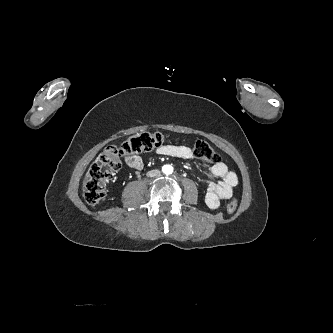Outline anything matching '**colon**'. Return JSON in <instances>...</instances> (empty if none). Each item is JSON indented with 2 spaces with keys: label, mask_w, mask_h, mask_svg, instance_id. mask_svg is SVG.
Returning <instances> with one entry per match:
<instances>
[{
  "label": "colon",
  "mask_w": 333,
  "mask_h": 333,
  "mask_svg": "<svg viewBox=\"0 0 333 333\" xmlns=\"http://www.w3.org/2000/svg\"><path fill=\"white\" fill-rule=\"evenodd\" d=\"M164 136L158 132H142L128 137L120 146H108L95 160L88 170L84 183L83 195L90 205L98 204L106 194V186L112 175L120 168L121 159L150 151L161 146ZM193 154L207 163L220 161L219 155L205 141L198 140L194 144ZM237 209V201L231 199L227 204L228 213Z\"/></svg>",
  "instance_id": "5ec220e1"
}]
</instances>
